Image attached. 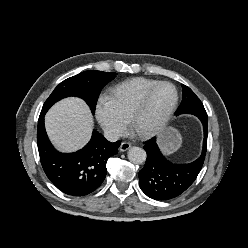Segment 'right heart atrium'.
Wrapping results in <instances>:
<instances>
[{
    "mask_svg": "<svg viewBox=\"0 0 248 248\" xmlns=\"http://www.w3.org/2000/svg\"><path fill=\"white\" fill-rule=\"evenodd\" d=\"M95 116L103 131L112 138L121 136L128 125V120L119 112L107 94H101L95 105Z\"/></svg>",
    "mask_w": 248,
    "mask_h": 248,
    "instance_id": "right-heart-atrium-1",
    "label": "right heart atrium"
}]
</instances>
